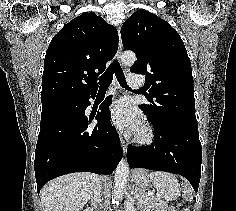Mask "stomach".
<instances>
[{
  "label": "stomach",
  "mask_w": 236,
  "mask_h": 211,
  "mask_svg": "<svg viewBox=\"0 0 236 211\" xmlns=\"http://www.w3.org/2000/svg\"><path fill=\"white\" fill-rule=\"evenodd\" d=\"M133 181L139 187V189L146 190L151 186V181L147 171L138 169L132 174Z\"/></svg>",
  "instance_id": "obj_1"
}]
</instances>
